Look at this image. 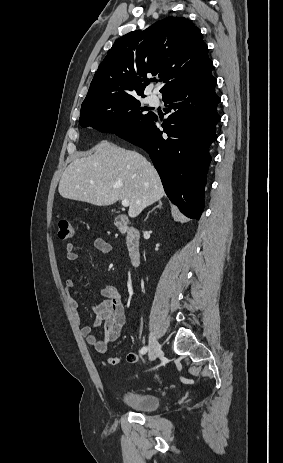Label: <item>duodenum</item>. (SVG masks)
<instances>
[{"instance_id": "410a0bca", "label": "duodenum", "mask_w": 283, "mask_h": 463, "mask_svg": "<svg viewBox=\"0 0 283 463\" xmlns=\"http://www.w3.org/2000/svg\"><path fill=\"white\" fill-rule=\"evenodd\" d=\"M115 226L123 229L126 232L127 248L129 260L132 266L137 267L140 263V234L128 221L124 214H120L115 218Z\"/></svg>"}]
</instances>
